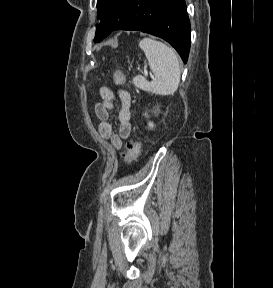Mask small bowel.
Returning <instances> with one entry per match:
<instances>
[{"label": "small bowel", "mask_w": 273, "mask_h": 288, "mask_svg": "<svg viewBox=\"0 0 273 288\" xmlns=\"http://www.w3.org/2000/svg\"><path fill=\"white\" fill-rule=\"evenodd\" d=\"M101 101L95 104L94 110L100 120L98 132L102 138L110 140L115 148L120 149L131 133V96L129 92L118 89L117 96L114 92L103 86L99 90ZM120 106L118 113V132H114L109 121L115 105Z\"/></svg>", "instance_id": "1"}]
</instances>
